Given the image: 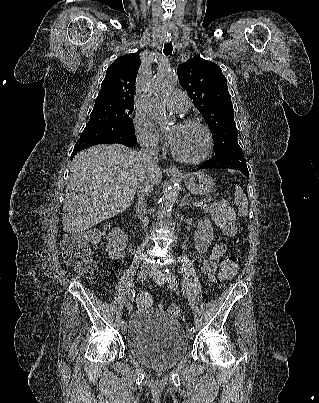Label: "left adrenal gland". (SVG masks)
Returning a JSON list of instances; mask_svg holds the SVG:
<instances>
[{"label": "left adrenal gland", "instance_id": "left-adrenal-gland-1", "mask_svg": "<svg viewBox=\"0 0 319 403\" xmlns=\"http://www.w3.org/2000/svg\"><path fill=\"white\" fill-rule=\"evenodd\" d=\"M187 198H188V195H186V196L183 198V200L181 201V204H180L181 207H184V206H186V205L190 206V204L187 202Z\"/></svg>", "mask_w": 319, "mask_h": 403}]
</instances>
